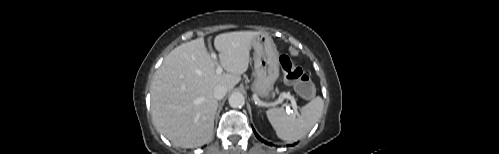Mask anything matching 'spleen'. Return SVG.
Listing matches in <instances>:
<instances>
[{
    "instance_id": "obj_1",
    "label": "spleen",
    "mask_w": 499,
    "mask_h": 154,
    "mask_svg": "<svg viewBox=\"0 0 499 154\" xmlns=\"http://www.w3.org/2000/svg\"><path fill=\"white\" fill-rule=\"evenodd\" d=\"M324 101L320 96L313 98L301 108L297 117L283 108H272L266 111L267 118L277 136L292 143L306 136L323 113Z\"/></svg>"
}]
</instances>
